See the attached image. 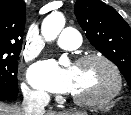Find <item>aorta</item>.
I'll use <instances>...</instances> for the list:
<instances>
[{"label":"aorta","mask_w":131,"mask_h":115,"mask_svg":"<svg viewBox=\"0 0 131 115\" xmlns=\"http://www.w3.org/2000/svg\"><path fill=\"white\" fill-rule=\"evenodd\" d=\"M65 26V18L60 12H52L42 22L41 33L46 41H53Z\"/></svg>","instance_id":"aorta-1"}]
</instances>
